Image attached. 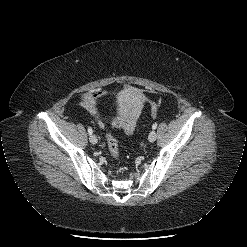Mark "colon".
<instances>
[{
  "instance_id": "colon-1",
  "label": "colon",
  "mask_w": 247,
  "mask_h": 247,
  "mask_svg": "<svg viewBox=\"0 0 247 247\" xmlns=\"http://www.w3.org/2000/svg\"><path fill=\"white\" fill-rule=\"evenodd\" d=\"M106 137H107V145H108L111 155L115 159H118L119 158V146H118V142L116 138L110 133H108Z\"/></svg>"
}]
</instances>
